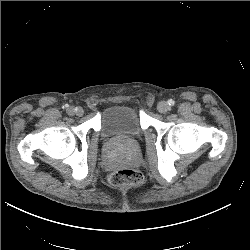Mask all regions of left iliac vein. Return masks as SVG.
I'll list each match as a JSON object with an SVG mask.
<instances>
[{
  "label": "left iliac vein",
  "instance_id": "1",
  "mask_svg": "<svg viewBox=\"0 0 250 250\" xmlns=\"http://www.w3.org/2000/svg\"><path fill=\"white\" fill-rule=\"evenodd\" d=\"M157 109L160 113H167L169 110V105L165 101H161L158 103Z\"/></svg>",
  "mask_w": 250,
  "mask_h": 250
}]
</instances>
